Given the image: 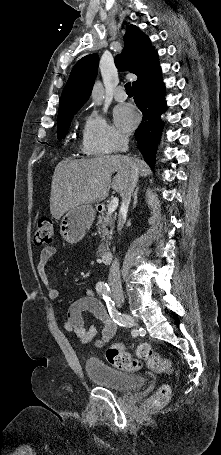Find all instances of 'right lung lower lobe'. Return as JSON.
I'll return each instance as SVG.
<instances>
[{"label": "right lung lower lobe", "mask_w": 221, "mask_h": 455, "mask_svg": "<svg viewBox=\"0 0 221 455\" xmlns=\"http://www.w3.org/2000/svg\"><path fill=\"white\" fill-rule=\"evenodd\" d=\"M134 101L143 114L135 131V137L144 160L154 167L155 151L159 142L162 121L160 115L166 110L165 86L157 58L151 62L133 85Z\"/></svg>", "instance_id": "right-lung-lower-lobe-1"}]
</instances>
